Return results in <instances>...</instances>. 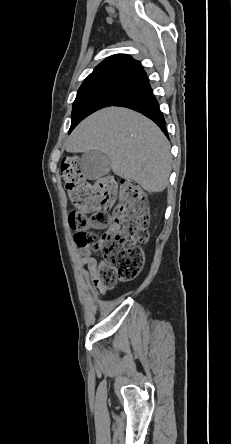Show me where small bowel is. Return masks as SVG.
<instances>
[{
  "mask_svg": "<svg viewBox=\"0 0 231 444\" xmlns=\"http://www.w3.org/2000/svg\"><path fill=\"white\" fill-rule=\"evenodd\" d=\"M75 240L78 246L80 245V234H75ZM79 264L86 269L83 271L84 277L90 282L92 292L95 296H98L99 293L104 294L106 292L99 283V275L100 271L105 267L104 261H99L95 256H93L90 252L82 248L79 257Z\"/></svg>",
  "mask_w": 231,
  "mask_h": 444,
  "instance_id": "1",
  "label": "small bowel"
}]
</instances>
